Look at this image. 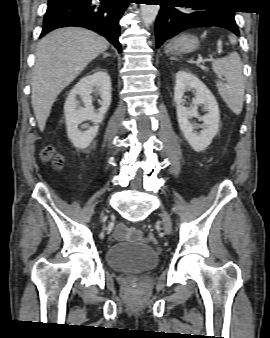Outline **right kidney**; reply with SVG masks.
Wrapping results in <instances>:
<instances>
[{
  "label": "right kidney",
  "instance_id": "right-kidney-1",
  "mask_svg": "<svg viewBox=\"0 0 270 338\" xmlns=\"http://www.w3.org/2000/svg\"><path fill=\"white\" fill-rule=\"evenodd\" d=\"M95 92L102 99L98 112H94L91 94ZM80 97V101L76 99ZM111 103V81L110 76L104 70H98L92 75L83 77L70 91L65 105L64 114L66 118L67 134L73 145L80 149L87 148L98 132V124L104 119ZM92 121L94 126L86 131L78 129L83 121Z\"/></svg>",
  "mask_w": 270,
  "mask_h": 338
}]
</instances>
